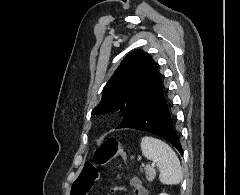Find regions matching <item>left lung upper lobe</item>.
<instances>
[{"label": "left lung upper lobe", "mask_w": 240, "mask_h": 195, "mask_svg": "<svg viewBox=\"0 0 240 195\" xmlns=\"http://www.w3.org/2000/svg\"><path fill=\"white\" fill-rule=\"evenodd\" d=\"M162 83L154 60L143 50H135L124 58L104 86L102 99L92 113L120 110L123 119L117 128H122L155 96Z\"/></svg>", "instance_id": "left-lung-upper-lobe-1"}]
</instances>
